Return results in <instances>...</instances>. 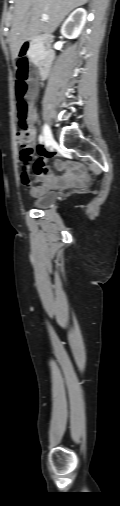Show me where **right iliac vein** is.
Wrapping results in <instances>:
<instances>
[{
	"mask_svg": "<svg viewBox=\"0 0 120 506\" xmlns=\"http://www.w3.org/2000/svg\"><path fill=\"white\" fill-rule=\"evenodd\" d=\"M44 141L47 146L51 145L54 142V138L51 132V129L48 125H45L44 127Z\"/></svg>",
	"mask_w": 120,
	"mask_h": 506,
	"instance_id": "right-iliac-vein-1",
	"label": "right iliac vein"
}]
</instances>
